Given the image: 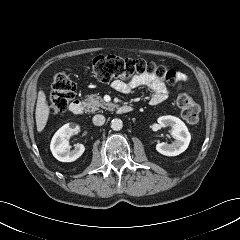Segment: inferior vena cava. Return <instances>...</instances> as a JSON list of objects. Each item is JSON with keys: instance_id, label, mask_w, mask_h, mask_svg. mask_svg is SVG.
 <instances>
[{"instance_id": "obj_1", "label": "inferior vena cava", "mask_w": 240, "mask_h": 240, "mask_svg": "<svg viewBox=\"0 0 240 240\" xmlns=\"http://www.w3.org/2000/svg\"><path fill=\"white\" fill-rule=\"evenodd\" d=\"M93 124L96 126H101L105 123V117L101 114H97L92 119Z\"/></svg>"}]
</instances>
